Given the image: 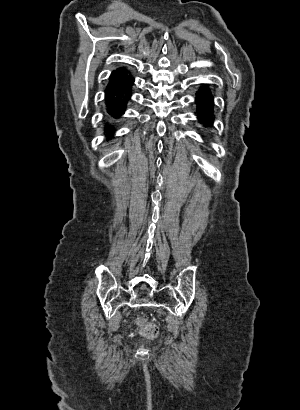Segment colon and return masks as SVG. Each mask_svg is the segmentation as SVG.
<instances>
[{"mask_svg":"<svg viewBox=\"0 0 300 410\" xmlns=\"http://www.w3.org/2000/svg\"><path fill=\"white\" fill-rule=\"evenodd\" d=\"M139 326L141 327L143 335L147 338L154 339L158 336L159 331L155 325L140 321Z\"/></svg>","mask_w":300,"mask_h":410,"instance_id":"colon-1","label":"colon"}]
</instances>
